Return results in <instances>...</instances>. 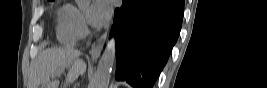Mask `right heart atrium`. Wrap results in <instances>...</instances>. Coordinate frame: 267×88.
<instances>
[{
    "label": "right heart atrium",
    "instance_id": "1",
    "mask_svg": "<svg viewBox=\"0 0 267 88\" xmlns=\"http://www.w3.org/2000/svg\"><path fill=\"white\" fill-rule=\"evenodd\" d=\"M70 30L75 40L82 39L86 34V27L83 17L78 11L70 23Z\"/></svg>",
    "mask_w": 267,
    "mask_h": 88
}]
</instances>
